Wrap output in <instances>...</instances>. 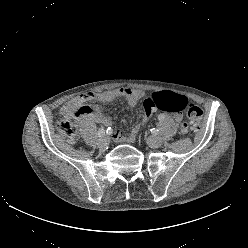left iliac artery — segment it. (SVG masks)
<instances>
[{
  "instance_id": "left-iliac-artery-1",
  "label": "left iliac artery",
  "mask_w": 248,
  "mask_h": 248,
  "mask_svg": "<svg viewBox=\"0 0 248 248\" xmlns=\"http://www.w3.org/2000/svg\"><path fill=\"white\" fill-rule=\"evenodd\" d=\"M152 131H153L154 134L158 133V130H156V129H153Z\"/></svg>"
}]
</instances>
